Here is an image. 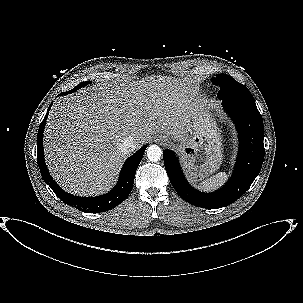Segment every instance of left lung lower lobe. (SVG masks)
Returning <instances> with one entry per match:
<instances>
[{"label": "left lung lower lobe", "instance_id": "1", "mask_svg": "<svg viewBox=\"0 0 303 303\" xmlns=\"http://www.w3.org/2000/svg\"><path fill=\"white\" fill-rule=\"evenodd\" d=\"M223 106L239 133V152L231 179L214 193H202L185 179L178 158L169 149L163 151L165 168L176 192L188 203L217 209L227 206L244 194L259 174L264 160V126L255 101L223 98Z\"/></svg>", "mask_w": 303, "mask_h": 303}]
</instances>
